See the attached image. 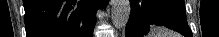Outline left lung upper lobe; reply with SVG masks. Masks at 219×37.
<instances>
[{"mask_svg": "<svg viewBox=\"0 0 219 37\" xmlns=\"http://www.w3.org/2000/svg\"><path fill=\"white\" fill-rule=\"evenodd\" d=\"M165 1L173 3L176 7H178L184 13H186L184 0H165Z\"/></svg>", "mask_w": 219, "mask_h": 37, "instance_id": "1", "label": "left lung upper lobe"}]
</instances>
